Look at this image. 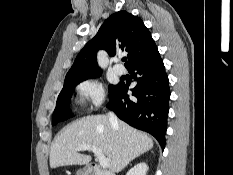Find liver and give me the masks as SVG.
I'll return each instance as SVG.
<instances>
[{"label":"liver","mask_w":233,"mask_h":175,"mask_svg":"<svg viewBox=\"0 0 233 175\" xmlns=\"http://www.w3.org/2000/svg\"><path fill=\"white\" fill-rule=\"evenodd\" d=\"M83 144L99 148L109 159V170L114 175L130 161L149 151L153 140L123 121L112 125L106 115L83 117L67 126L55 139L50 151V167L89 163L91 156L80 154L77 150Z\"/></svg>","instance_id":"liver-1"}]
</instances>
